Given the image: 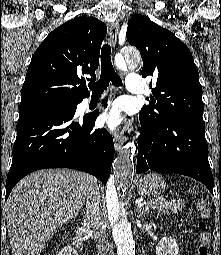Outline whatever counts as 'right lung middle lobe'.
I'll list each match as a JSON object with an SVG mask.
<instances>
[{
    "instance_id": "right-lung-middle-lobe-1",
    "label": "right lung middle lobe",
    "mask_w": 221,
    "mask_h": 255,
    "mask_svg": "<svg viewBox=\"0 0 221 255\" xmlns=\"http://www.w3.org/2000/svg\"><path fill=\"white\" fill-rule=\"evenodd\" d=\"M44 105H54V106H60V107H66L69 108L71 110H73L74 108H76V105H69L66 103H49V104H44Z\"/></svg>"
}]
</instances>
